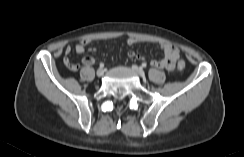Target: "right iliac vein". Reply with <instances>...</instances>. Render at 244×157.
I'll return each mask as SVG.
<instances>
[{
	"label": "right iliac vein",
	"instance_id": "63e3f726",
	"mask_svg": "<svg viewBox=\"0 0 244 157\" xmlns=\"http://www.w3.org/2000/svg\"><path fill=\"white\" fill-rule=\"evenodd\" d=\"M96 74H97L98 77H102L103 74H104V70H103L102 68H99V69L97 70Z\"/></svg>",
	"mask_w": 244,
	"mask_h": 157
}]
</instances>
